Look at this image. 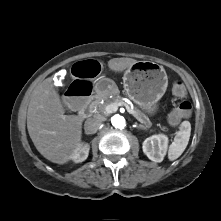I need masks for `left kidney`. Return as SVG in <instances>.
<instances>
[{"instance_id": "left-kidney-1", "label": "left kidney", "mask_w": 221, "mask_h": 221, "mask_svg": "<svg viewBox=\"0 0 221 221\" xmlns=\"http://www.w3.org/2000/svg\"><path fill=\"white\" fill-rule=\"evenodd\" d=\"M168 147V137L164 134L153 135L143 142V152L154 161L161 162L166 155Z\"/></svg>"}]
</instances>
